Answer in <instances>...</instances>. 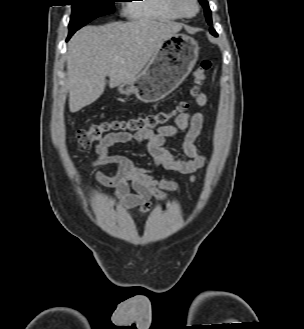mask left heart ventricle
I'll list each match as a JSON object with an SVG mask.
<instances>
[{"mask_svg": "<svg viewBox=\"0 0 304 329\" xmlns=\"http://www.w3.org/2000/svg\"><path fill=\"white\" fill-rule=\"evenodd\" d=\"M182 8L187 13H192L194 11V5L190 0H182Z\"/></svg>", "mask_w": 304, "mask_h": 329, "instance_id": "1", "label": "left heart ventricle"}]
</instances>
